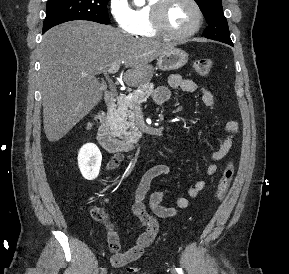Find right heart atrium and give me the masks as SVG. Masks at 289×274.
Instances as JSON below:
<instances>
[{
	"label": "right heart atrium",
	"instance_id": "1",
	"mask_svg": "<svg viewBox=\"0 0 289 274\" xmlns=\"http://www.w3.org/2000/svg\"><path fill=\"white\" fill-rule=\"evenodd\" d=\"M109 12L117 26L126 33L134 29L133 9L127 0H109Z\"/></svg>",
	"mask_w": 289,
	"mask_h": 274
}]
</instances>
